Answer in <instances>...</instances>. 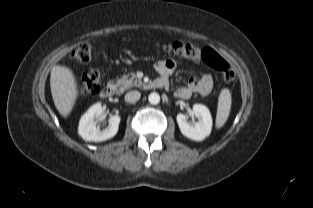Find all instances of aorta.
Masks as SVG:
<instances>
[{
  "label": "aorta",
  "instance_id": "1",
  "mask_svg": "<svg viewBox=\"0 0 313 208\" xmlns=\"http://www.w3.org/2000/svg\"><path fill=\"white\" fill-rule=\"evenodd\" d=\"M148 100L152 105H156L160 102V96L158 93L153 92L149 95Z\"/></svg>",
  "mask_w": 313,
  "mask_h": 208
}]
</instances>
